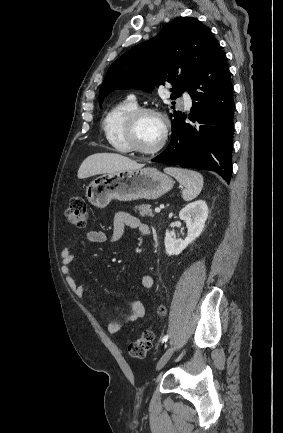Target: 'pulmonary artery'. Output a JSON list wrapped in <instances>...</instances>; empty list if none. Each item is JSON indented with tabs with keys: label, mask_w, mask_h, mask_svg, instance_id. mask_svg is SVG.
<instances>
[{
	"label": "pulmonary artery",
	"mask_w": 283,
	"mask_h": 433,
	"mask_svg": "<svg viewBox=\"0 0 283 433\" xmlns=\"http://www.w3.org/2000/svg\"><path fill=\"white\" fill-rule=\"evenodd\" d=\"M131 99H134V97H131ZM178 104L186 110L192 108V98L189 93L185 92V90H182V95L178 98Z\"/></svg>",
	"instance_id": "obj_1"
}]
</instances>
